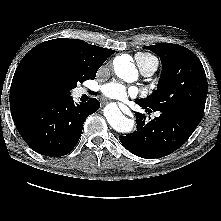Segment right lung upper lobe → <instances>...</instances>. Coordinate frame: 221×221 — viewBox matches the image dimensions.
I'll list each match as a JSON object with an SVG mask.
<instances>
[{
  "mask_svg": "<svg viewBox=\"0 0 221 221\" xmlns=\"http://www.w3.org/2000/svg\"><path fill=\"white\" fill-rule=\"evenodd\" d=\"M114 52L78 39L58 38L38 44L24 56L15 71L10 108L26 100L67 97L63 86L48 81L49 74L71 68L75 72L96 75L98 68Z\"/></svg>",
  "mask_w": 221,
  "mask_h": 221,
  "instance_id": "cb5924a9",
  "label": "right lung upper lobe"
}]
</instances>
